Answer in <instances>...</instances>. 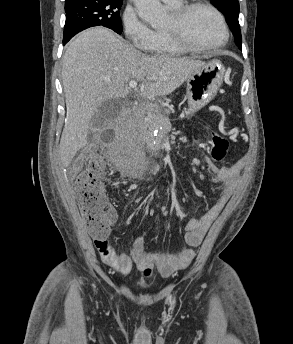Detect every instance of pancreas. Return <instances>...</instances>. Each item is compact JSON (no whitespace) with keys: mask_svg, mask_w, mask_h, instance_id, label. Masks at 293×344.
Instances as JSON below:
<instances>
[{"mask_svg":"<svg viewBox=\"0 0 293 344\" xmlns=\"http://www.w3.org/2000/svg\"><path fill=\"white\" fill-rule=\"evenodd\" d=\"M169 113V110L164 109H156V110H149L147 111L146 120H142L140 122V126L138 131L139 132H145L147 129L150 131H153L155 128H157L158 125H168L169 119L166 116V114ZM124 133V131H123ZM133 134H135L134 130H125L124 135L125 138H134Z\"/></svg>","mask_w":293,"mask_h":344,"instance_id":"pancreas-1","label":"pancreas"}]
</instances>
